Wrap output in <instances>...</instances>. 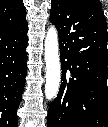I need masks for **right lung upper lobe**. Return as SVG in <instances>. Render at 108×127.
Masks as SVG:
<instances>
[{"label": "right lung upper lobe", "instance_id": "obj_1", "mask_svg": "<svg viewBox=\"0 0 108 127\" xmlns=\"http://www.w3.org/2000/svg\"><path fill=\"white\" fill-rule=\"evenodd\" d=\"M22 0H0V29L12 28L26 21Z\"/></svg>", "mask_w": 108, "mask_h": 127}]
</instances>
